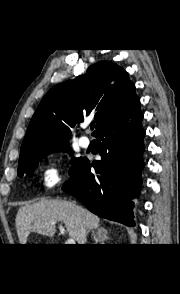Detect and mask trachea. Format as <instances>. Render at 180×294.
<instances>
[{
	"instance_id": "obj_1",
	"label": "trachea",
	"mask_w": 180,
	"mask_h": 294,
	"mask_svg": "<svg viewBox=\"0 0 180 294\" xmlns=\"http://www.w3.org/2000/svg\"><path fill=\"white\" fill-rule=\"evenodd\" d=\"M91 129H94V123L90 124Z\"/></svg>"
}]
</instances>
